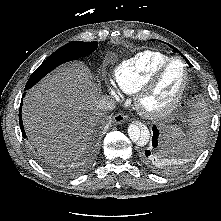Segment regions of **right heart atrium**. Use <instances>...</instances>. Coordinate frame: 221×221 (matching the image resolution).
<instances>
[{"label": "right heart atrium", "mask_w": 221, "mask_h": 221, "mask_svg": "<svg viewBox=\"0 0 221 221\" xmlns=\"http://www.w3.org/2000/svg\"><path fill=\"white\" fill-rule=\"evenodd\" d=\"M106 90L112 97L116 99L120 98L121 96L119 87L112 82L106 84Z\"/></svg>", "instance_id": "right-heart-atrium-1"}]
</instances>
